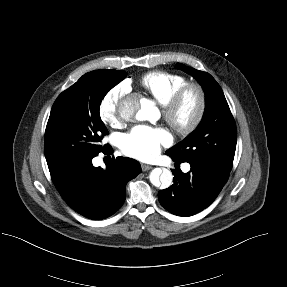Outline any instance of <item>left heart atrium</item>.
Listing matches in <instances>:
<instances>
[{"mask_svg": "<svg viewBox=\"0 0 287 287\" xmlns=\"http://www.w3.org/2000/svg\"><path fill=\"white\" fill-rule=\"evenodd\" d=\"M170 141L171 137L165 129L138 125L121 137L120 146L125 155L148 161L155 158L161 147Z\"/></svg>", "mask_w": 287, "mask_h": 287, "instance_id": "1", "label": "left heart atrium"}]
</instances>
